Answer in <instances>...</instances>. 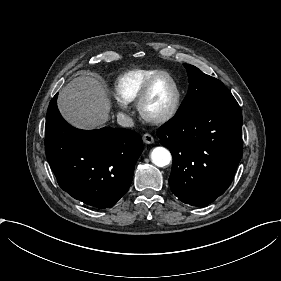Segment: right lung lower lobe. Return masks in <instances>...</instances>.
Instances as JSON below:
<instances>
[{
  "label": "right lung lower lobe",
  "instance_id": "98d812e1",
  "mask_svg": "<svg viewBox=\"0 0 281 281\" xmlns=\"http://www.w3.org/2000/svg\"><path fill=\"white\" fill-rule=\"evenodd\" d=\"M50 101L45 151L60 187L83 203L112 207L127 192L141 155V137L128 129L80 130L69 125Z\"/></svg>",
  "mask_w": 281,
  "mask_h": 281
}]
</instances>
